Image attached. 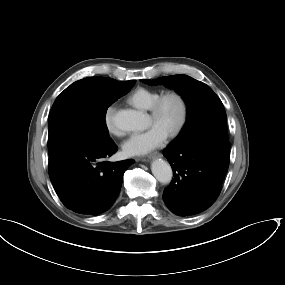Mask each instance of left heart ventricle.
<instances>
[{
  "label": "left heart ventricle",
  "mask_w": 285,
  "mask_h": 285,
  "mask_svg": "<svg viewBox=\"0 0 285 285\" xmlns=\"http://www.w3.org/2000/svg\"><path fill=\"white\" fill-rule=\"evenodd\" d=\"M181 114V107L177 99L169 98L162 106L158 118L149 117V124H156L168 133L178 123Z\"/></svg>",
  "instance_id": "1"
}]
</instances>
